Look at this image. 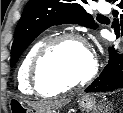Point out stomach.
Returning <instances> with one entry per match:
<instances>
[{"label": "stomach", "mask_w": 123, "mask_h": 113, "mask_svg": "<svg viewBox=\"0 0 123 113\" xmlns=\"http://www.w3.org/2000/svg\"><path fill=\"white\" fill-rule=\"evenodd\" d=\"M97 101L96 98L92 95H83L78 100V105L80 109L84 111H91L96 107ZM10 110L19 112V113H33V110L27 107L22 101L17 99H11L9 102ZM40 113V112H36ZM43 113H55L54 111H46Z\"/></svg>", "instance_id": "stomach-1"}]
</instances>
